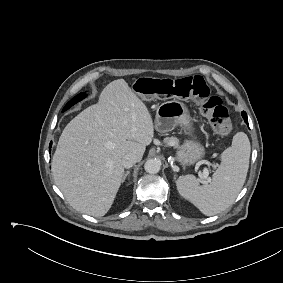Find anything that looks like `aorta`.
I'll return each instance as SVG.
<instances>
[{
  "label": "aorta",
  "mask_w": 283,
  "mask_h": 283,
  "mask_svg": "<svg viewBox=\"0 0 283 283\" xmlns=\"http://www.w3.org/2000/svg\"><path fill=\"white\" fill-rule=\"evenodd\" d=\"M145 171L150 174L158 173L161 169V163L156 159H149L144 165Z\"/></svg>",
  "instance_id": "1"
}]
</instances>
